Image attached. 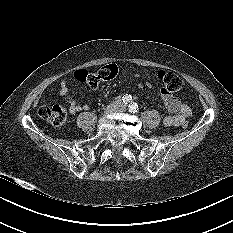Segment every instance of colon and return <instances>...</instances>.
Segmentation results:
<instances>
[{"label": "colon", "mask_w": 233, "mask_h": 233, "mask_svg": "<svg viewBox=\"0 0 233 233\" xmlns=\"http://www.w3.org/2000/svg\"><path fill=\"white\" fill-rule=\"evenodd\" d=\"M117 74V65L107 64L94 72H89L84 69L78 70L75 72L74 77L77 81L95 88L102 82L115 79ZM157 77L163 85L162 89L170 95L178 93L183 89L184 83L182 78L173 72L162 70L158 72ZM38 114L43 120L55 128L63 127L67 120L66 109L61 105L42 106ZM182 127L187 128L188 123L184 122Z\"/></svg>", "instance_id": "colon-1"}]
</instances>
